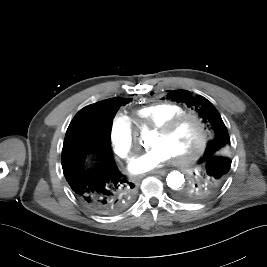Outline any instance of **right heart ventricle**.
<instances>
[{"label":"right heart ventricle","instance_id":"1","mask_svg":"<svg viewBox=\"0 0 267 267\" xmlns=\"http://www.w3.org/2000/svg\"><path fill=\"white\" fill-rule=\"evenodd\" d=\"M185 112V108L178 104L155 103L136 110L133 121L140 126L156 128L166 120Z\"/></svg>","mask_w":267,"mask_h":267}]
</instances>
